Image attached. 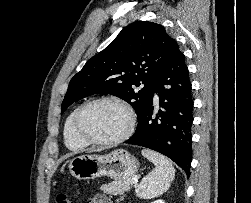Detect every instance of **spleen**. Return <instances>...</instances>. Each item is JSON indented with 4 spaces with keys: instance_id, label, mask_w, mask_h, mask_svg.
Instances as JSON below:
<instances>
[{
    "instance_id": "3e777b00",
    "label": "spleen",
    "mask_w": 251,
    "mask_h": 203,
    "mask_svg": "<svg viewBox=\"0 0 251 203\" xmlns=\"http://www.w3.org/2000/svg\"><path fill=\"white\" fill-rule=\"evenodd\" d=\"M141 153L155 168L142 179L135 191L139 198H155L168 190L175 177V169L168 158L155 151L143 149Z\"/></svg>"
}]
</instances>
